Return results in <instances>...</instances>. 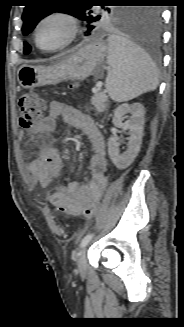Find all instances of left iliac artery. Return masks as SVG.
I'll return each mask as SVG.
<instances>
[{
	"label": "left iliac artery",
	"instance_id": "1",
	"mask_svg": "<svg viewBox=\"0 0 184 327\" xmlns=\"http://www.w3.org/2000/svg\"><path fill=\"white\" fill-rule=\"evenodd\" d=\"M94 234L93 233H89L87 234L81 241L80 243V247L81 248H84L88 243L89 241L93 238Z\"/></svg>",
	"mask_w": 184,
	"mask_h": 327
}]
</instances>
